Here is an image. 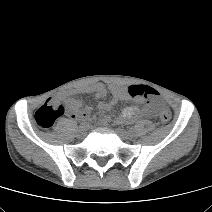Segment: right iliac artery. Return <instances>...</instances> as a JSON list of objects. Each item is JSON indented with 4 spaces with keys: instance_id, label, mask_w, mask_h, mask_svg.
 I'll return each instance as SVG.
<instances>
[{
    "instance_id": "right-iliac-artery-1",
    "label": "right iliac artery",
    "mask_w": 212,
    "mask_h": 212,
    "mask_svg": "<svg viewBox=\"0 0 212 212\" xmlns=\"http://www.w3.org/2000/svg\"><path fill=\"white\" fill-rule=\"evenodd\" d=\"M88 124L86 123V122H82L81 124H80V127H85V126H87Z\"/></svg>"
}]
</instances>
